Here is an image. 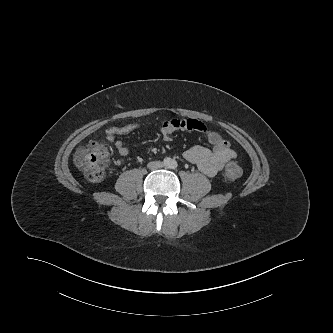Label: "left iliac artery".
Instances as JSON below:
<instances>
[{
  "mask_svg": "<svg viewBox=\"0 0 333 333\" xmlns=\"http://www.w3.org/2000/svg\"><path fill=\"white\" fill-rule=\"evenodd\" d=\"M170 167H171L172 169L177 168V162H176V161H172Z\"/></svg>",
  "mask_w": 333,
  "mask_h": 333,
  "instance_id": "left-iliac-artery-1",
  "label": "left iliac artery"
}]
</instances>
